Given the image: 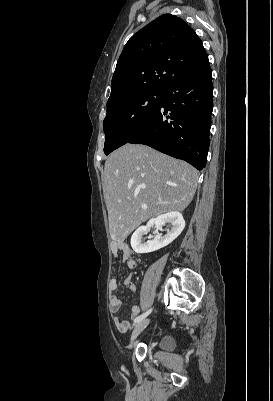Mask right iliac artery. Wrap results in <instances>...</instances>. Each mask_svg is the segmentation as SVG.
Returning <instances> with one entry per match:
<instances>
[{"label":"right iliac artery","instance_id":"82829eb1","mask_svg":"<svg viewBox=\"0 0 273 401\" xmlns=\"http://www.w3.org/2000/svg\"><path fill=\"white\" fill-rule=\"evenodd\" d=\"M152 309L148 310L147 312L143 313L142 315L135 318L134 323H138L142 321L145 317H147L151 313Z\"/></svg>","mask_w":273,"mask_h":401}]
</instances>
